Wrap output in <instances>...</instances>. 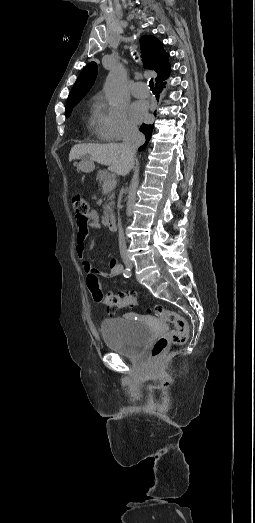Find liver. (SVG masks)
<instances>
[{
  "instance_id": "1",
  "label": "liver",
  "mask_w": 255,
  "mask_h": 523,
  "mask_svg": "<svg viewBox=\"0 0 255 523\" xmlns=\"http://www.w3.org/2000/svg\"><path fill=\"white\" fill-rule=\"evenodd\" d=\"M123 144H76L70 150L69 162L80 160L82 156H90L92 162L109 166L110 172L118 176L124 174L127 164L122 160Z\"/></svg>"
}]
</instances>
